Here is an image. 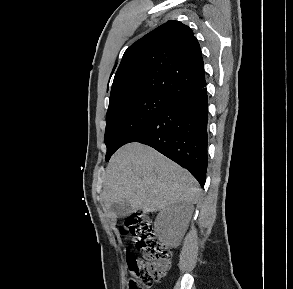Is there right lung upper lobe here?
I'll return each instance as SVG.
<instances>
[{"label":"right lung upper lobe","instance_id":"obj_1","mask_svg":"<svg viewBox=\"0 0 293 289\" xmlns=\"http://www.w3.org/2000/svg\"><path fill=\"white\" fill-rule=\"evenodd\" d=\"M205 86L202 53L193 31L171 20L125 51L114 77L109 106L148 94L174 102Z\"/></svg>","mask_w":293,"mask_h":289}]
</instances>
